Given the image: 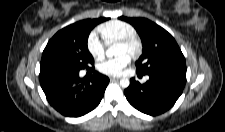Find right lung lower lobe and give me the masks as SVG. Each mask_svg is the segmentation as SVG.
Here are the masks:
<instances>
[{
	"label": "right lung lower lobe",
	"instance_id": "98d812e1",
	"mask_svg": "<svg viewBox=\"0 0 225 132\" xmlns=\"http://www.w3.org/2000/svg\"><path fill=\"white\" fill-rule=\"evenodd\" d=\"M39 77L48 102L67 117L95 109L109 83L108 77L96 71L90 79L80 78L79 71L61 69L40 70Z\"/></svg>",
	"mask_w": 225,
	"mask_h": 132
}]
</instances>
